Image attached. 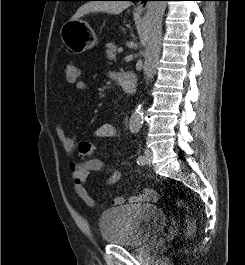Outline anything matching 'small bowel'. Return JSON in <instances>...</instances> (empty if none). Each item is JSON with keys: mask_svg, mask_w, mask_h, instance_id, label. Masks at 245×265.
Instances as JSON below:
<instances>
[{"mask_svg": "<svg viewBox=\"0 0 245 265\" xmlns=\"http://www.w3.org/2000/svg\"><path fill=\"white\" fill-rule=\"evenodd\" d=\"M75 87L78 91H86L88 86L83 80L76 82ZM56 133L64 151L72 155L77 146L76 136H69L63 126L58 124L56 127ZM94 136L96 138H115L117 136V130L113 124L103 123L99 125L95 131ZM105 171L107 173V179L105 184L108 186L117 183L121 177L120 171L110 167L106 168L104 162L98 158H92L82 163H71L69 172L73 182V188L77 196L89 207L96 208L101 204L95 201L89 194L86 182L88 177L92 173H99ZM158 200V193L151 189L145 188L141 194H135L129 197L128 201L132 204L142 202H155ZM125 203V199L122 196H117L112 199L114 206H121Z\"/></svg>", "mask_w": 245, "mask_h": 265, "instance_id": "obj_1", "label": "small bowel"}]
</instances>
